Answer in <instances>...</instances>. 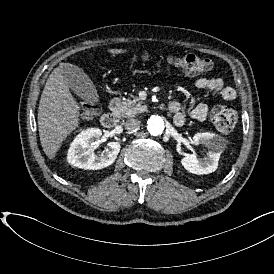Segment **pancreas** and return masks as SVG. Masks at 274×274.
<instances>
[{"label": "pancreas", "mask_w": 274, "mask_h": 274, "mask_svg": "<svg viewBox=\"0 0 274 274\" xmlns=\"http://www.w3.org/2000/svg\"><path fill=\"white\" fill-rule=\"evenodd\" d=\"M130 98L133 99L131 100ZM145 110L146 107L141 104L139 99L130 94L129 98L121 104L120 109L117 111V114L123 117H135Z\"/></svg>", "instance_id": "obj_1"}]
</instances>
